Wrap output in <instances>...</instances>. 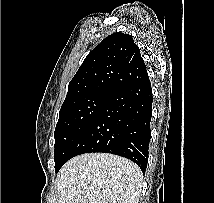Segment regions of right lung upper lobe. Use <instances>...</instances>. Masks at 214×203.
<instances>
[{"label":"right lung upper lobe","mask_w":214,"mask_h":203,"mask_svg":"<svg viewBox=\"0 0 214 203\" xmlns=\"http://www.w3.org/2000/svg\"><path fill=\"white\" fill-rule=\"evenodd\" d=\"M147 77L146 65L132 36L116 32L87 55L69 83L64 103L92 93L112 96Z\"/></svg>","instance_id":"1"}]
</instances>
